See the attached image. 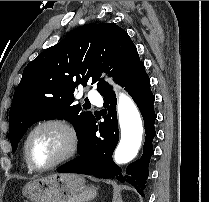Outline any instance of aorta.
I'll list each match as a JSON object with an SVG mask.
<instances>
[{
	"instance_id": "obj_1",
	"label": "aorta",
	"mask_w": 209,
	"mask_h": 202,
	"mask_svg": "<svg viewBox=\"0 0 209 202\" xmlns=\"http://www.w3.org/2000/svg\"><path fill=\"white\" fill-rule=\"evenodd\" d=\"M117 113L121 138L114 152V160L125 164L133 160L140 149L143 124L135 103L125 93L118 96Z\"/></svg>"
}]
</instances>
